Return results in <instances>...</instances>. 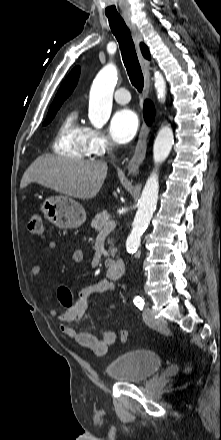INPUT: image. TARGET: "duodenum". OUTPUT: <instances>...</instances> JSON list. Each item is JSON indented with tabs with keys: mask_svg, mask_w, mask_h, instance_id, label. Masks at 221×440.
Segmentation results:
<instances>
[{
	"mask_svg": "<svg viewBox=\"0 0 221 440\" xmlns=\"http://www.w3.org/2000/svg\"><path fill=\"white\" fill-rule=\"evenodd\" d=\"M125 270V263L121 259L113 260L107 265V274L112 280L120 279L125 274Z\"/></svg>",
	"mask_w": 221,
	"mask_h": 440,
	"instance_id": "1",
	"label": "duodenum"
}]
</instances>
